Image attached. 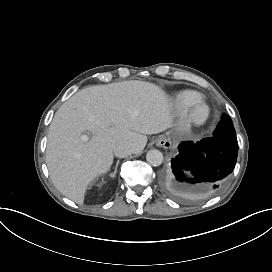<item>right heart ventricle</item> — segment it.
Here are the masks:
<instances>
[{
	"mask_svg": "<svg viewBox=\"0 0 272 272\" xmlns=\"http://www.w3.org/2000/svg\"><path fill=\"white\" fill-rule=\"evenodd\" d=\"M197 95H199V93L196 90L183 89L175 94L174 99L178 105H182L184 102L195 98Z\"/></svg>",
	"mask_w": 272,
	"mask_h": 272,
	"instance_id": "1",
	"label": "right heart ventricle"
}]
</instances>
